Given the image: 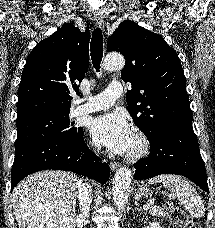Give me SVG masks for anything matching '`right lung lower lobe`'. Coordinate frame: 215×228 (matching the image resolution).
<instances>
[{
    "mask_svg": "<svg viewBox=\"0 0 215 228\" xmlns=\"http://www.w3.org/2000/svg\"><path fill=\"white\" fill-rule=\"evenodd\" d=\"M100 160L89 150L83 134L78 140L53 137L29 142L15 148L11 191L27 175L46 169L72 171L106 183L109 166Z\"/></svg>",
    "mask_w": 215,
    "mask_h": 228,
    "instance_id": "1",
    "label": "right lung lower lobe"
}]
</instances>
